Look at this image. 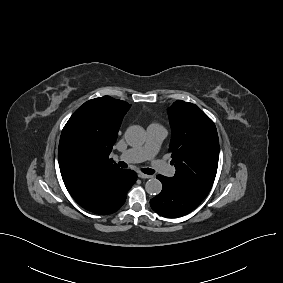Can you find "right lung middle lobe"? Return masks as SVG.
<instances>
[{
  "instance_id": "1",
  "label": "right lung middle lobe",
  "mask_w": 283,
  "mask_h": 283,
  "mask_svg": "<svg viewBox=\"0 0 283 283\" xmlns=\"http://www.w3.org/2000/svg\"><path fill=\"white\" fill-rule=\"evenodd\" d=\"M66 140L70 143H74L76 138L72 130H69L66 134Z\"/></svg>"
}]
</instances>
